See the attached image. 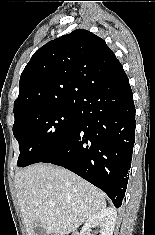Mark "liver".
Returning a JSON list of instances; mask_svg holds the SVG:
<instances>
[{
	"mask_svg": "<svg viewBox=\"0 0 155 235\" xmlns=\"http://www.w3.org/2000/svg\"><path fill=\"white\" fill-rule=\"evenodd\" d=\"M17 198L27 235L38 224L45 235H68L106 208L102 192L73 172L35 164L15 175Z\"/></svg>",
	"mask_w": 155,
	"mask_h": 235,
	"instance_id": "obj_1",
	"label": "liver"
}]
</instances>
